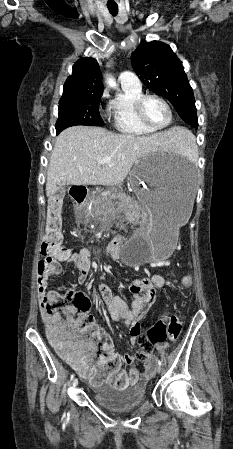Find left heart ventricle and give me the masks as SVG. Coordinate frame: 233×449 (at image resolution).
<instances>
[{"label":"left heart ventricle","mask_w":233,"mask_h":449,"mask_svg":"<svg viewBox=\"0 0 233 449\" xmlns=\"http://www.w3.org/2000/svg\"><path fill=\"white\" fill-rule=\"evenodd\" d=\"M144 115L149 123L157 127L165 125L169 119L166 107L156 99H149L145 102Z\"/></svg>","instance_id":"left-heart-ventricle-1"}]
</instances>
